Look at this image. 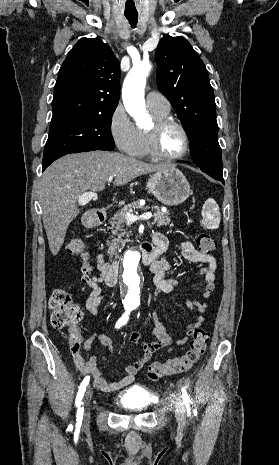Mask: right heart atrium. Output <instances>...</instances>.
Here are the masks:
<instances>
[{"label":"right heart atrium","mask_w":279,"mask_h":465,"mask_svg":"<svg viewBox=\"0 0 279 465\" xmlns=\"http://www.w3.org/2000/svg\"><path fill=\"white\" fill-rule=\"evenodd\" d=\"M108 128L116 147L124 153H130L136 135V128L123 105L118 104L109 117Z\"/></svg>","instance_id":"obj_1"}]
</instances>
